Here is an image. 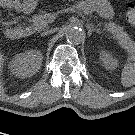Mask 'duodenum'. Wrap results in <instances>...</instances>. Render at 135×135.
Segmentation results:
<instances>
[{"instance_id":"1","label":"duodenum","mask_w":135,"mask_h":135,"mask_svg":"<svg viewBox=\"0 0 135 135\" xmlns=\"http://www.w3.org/2000/svg\"><path fill=\"white\" fill-rule=\"evenodd\" d=\"M29 31H30L29 26H23V27L10 26L6 30V36L13 40H17L26 36L29 33Z\"/></svg>"}]
</instances>
